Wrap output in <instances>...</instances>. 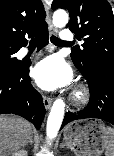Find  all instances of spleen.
I'll use <instances>...</instances> for the list:
<instances>
[{
    "mask_svg": "<svg viewBox=\"0 0 114 156\" xmlns=\"http://www.w3.org/2000/svg\"><path fill=\"white\" fill-rule=\"evenodd\" d=\"M108 131L112 137V142L106 148L105 156H114V129L108 127Z\"/></svg>",
    "mask_w": 114,
    "mask_h": 156,
    "instance_id": "1",
    "label": "spleen"
}]
</instances>
